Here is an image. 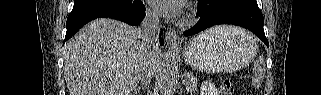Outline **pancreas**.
Instances as JSON below:
<instances>
[{"label":"pancreas","mask_w":321,"mask_h":95,"mask_svg":"<svg viewBox=\"0 0 321 95\" xmlns=\"http://www.w3.org/2000/svg\"><path fill=\"white\" fill-rule=\"evenodd\" d=\"M197 84H198L197 78L193 74L188 73L185 75L184 85L188 93L196 92Z\"/></svg>","instance_id":"pancreas-1"}]
</instances>
